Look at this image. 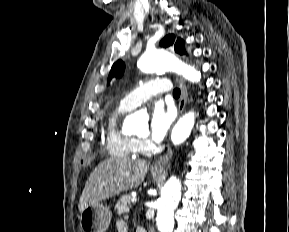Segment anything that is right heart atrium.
Masks as SVG:
<instances>
[{
	"label": "right heart atrium",
	"instance_id": "right-heart-atrium-1",
	"mask_svg": "<svg viewBox=\"0 0 289 232\" xmlns=\"http://www.w3.org/2000/svg\"><path fill=\"white\" fill-rule=\"evenodd\" d=\"M139 147L140 150H146L148 148V143L145 140H140L139 141Z\"/></svg>",
	"mask_w": 289,
	"mask_h": 232
}]
</instances>
